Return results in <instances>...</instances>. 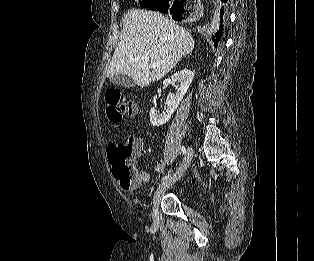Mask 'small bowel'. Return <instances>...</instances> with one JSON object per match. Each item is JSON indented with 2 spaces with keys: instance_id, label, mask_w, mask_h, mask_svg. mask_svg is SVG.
Returning a JSON list of instances; mask_svg holds the SVG:
<instances>
[{
  "instance_id": "1",
  "label": "small bowel",
  "mask_w": 314,
  "mask_h": 261,
  "mask_svg": "<svg viewBox=\"0 0 314 261\" xmlns=\"http://www.w3.org/2000/svg\"><path fill=\"white\" fill-rule=\"evenodd\" d=\"M136 144H137V151H136V154H135V159L137 160L141 154H142V150H143V147H142V143L139 139L137 138H134ZM136 171L139 172L142 176V182H147L150 180V175L142 170H140L139 168H136ZM155 171L158 172L159 174H162L164 173L165 171V161L163 159H160L156 162L155 164ZM141 182V183H142Z\"/></svg>"
}]
</instances>
